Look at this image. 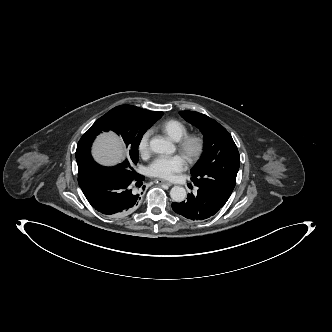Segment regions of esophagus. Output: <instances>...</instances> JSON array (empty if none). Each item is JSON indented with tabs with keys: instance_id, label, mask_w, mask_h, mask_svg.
<instances>
[{
	"instance_id": "1",
	"label": "esophagus",
	"mask_w": 332,
	"mask_h": 332,
	"mask_svg": "<svg viewBox=\"0 0 332 332\" xmlns=\"http://www.w3.org/2000/svg\"><path fill=\"white\" fill-rule=\"evenodd\" d=\"M157 183H158V184H166V185H168V186H171V185H172L170 182L165 181V180H162V179H158V180H157Z\"/></svg>"
}]
</instances>
